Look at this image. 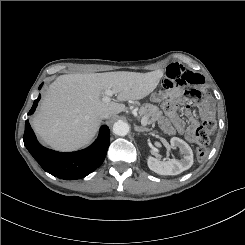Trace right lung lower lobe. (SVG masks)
Returning <instances> with one entry per match:
<instances>
[{
	"instance_id": "1",
	"label": "right lung lower lobe",
	"mask_w": 245,
	"mask_h": 245,
	"mask_svg": "<svg viewBox=\"0 0 245 245\" xmlns=\"http://www.w3.org/2000/svg\"><path fill=\"white\" fill-rule=\"evenodd\" d=\"M40 97L41 95L34 101L29 115L35 111ZM23 140L25 147L46 172L60 179L76 180L84 178L103 163L109 147L110 130L108 126L103 125L98 138L90 147L63 153L43 147L26 120Z\"/></svg>"
}]
</instances>
